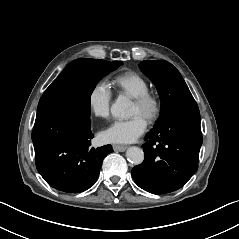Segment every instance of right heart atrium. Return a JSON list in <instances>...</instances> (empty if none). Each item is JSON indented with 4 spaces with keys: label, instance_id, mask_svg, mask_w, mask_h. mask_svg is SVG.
<instances>
[{
    "label": "right heart atrium",
    "instance_id": "obj_1",
    "mask_svg": "<svg viewBox=\"0 0 239 239\" xmlns=\"http://www.w3.org/2000/svg\"><path fill=\"white\" fill-rule=\"evenodd\" d=\"M111 101L112 91L103 82H97L92 85L87 93L88 109L94 117H106L110 111Z\"/></svg>",
    "mask_w": 239,
    "mask_h": 239
}]
</instances>
